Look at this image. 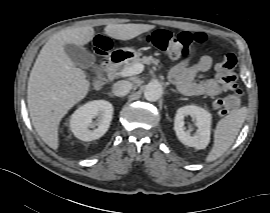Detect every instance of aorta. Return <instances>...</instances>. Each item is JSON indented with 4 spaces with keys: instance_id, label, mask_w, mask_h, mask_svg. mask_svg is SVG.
<instances>
[{
    "instance_id": "762f6f07",
    "label": "aorta",
    "mask_w": 270,
    "mask_h": 213,
    "mask_svg": "<svg viewBox=\"0 0 270 213\" xmlns=\"http://www.w3.org/2000/svg\"><path fill=\"white\" fill-rule=\"evenodd\" d=\"M163 93L162 85L158 81H151L144 89V97L146 100L157 101Z\"/></svg>"
}]
</instances>
